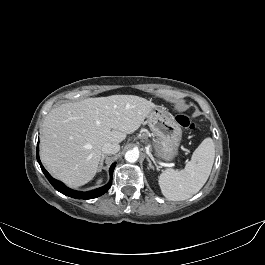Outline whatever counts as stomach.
I'll return each mask as SVG.
<instances>
[{
	"instance_id": "0dacf381",
	"label": "stomach",
	"mask_w": 265,
	"mask_h": 265,
	"mask_svg": "<svg viewBox=\"0 0 265 265\" xmlns=\"http://www.w3.org/2000/svg\"><path fill=\"white\" fill-rule=\"evenodd\" d=\"M147 123L155 137L153 148L159 159L172 161L177 153L182 138L180 125L163 109L155 108L147 116Z\"/></svg>"
}]
</instances>
